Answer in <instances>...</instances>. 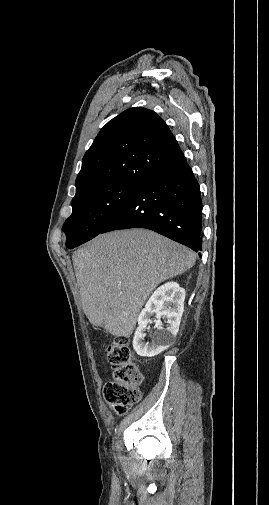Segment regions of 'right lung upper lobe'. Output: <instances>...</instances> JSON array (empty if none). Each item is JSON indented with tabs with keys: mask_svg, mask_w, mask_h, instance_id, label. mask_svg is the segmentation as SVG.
Returning <instances> with one entry per match:
<instances>
[{
	"mask_svg": "<svg viewBox=\"0 0 269 505\" xmlns=\"http://www.w3.org/2000/svg\"><path fill=\"white\" fill-rule=\"evenodd\" d=\"M182 156L174 135L155 112L128 109L101 129L85 153L76 194L104 183L143 184Z\"/></svg>",
	"mask_w": 269,
	"mask_h": 505,
	"instance_id": "right-lung-upper-lobe-1",
	"label": "right lung upper lobe"
}]
</instances>
